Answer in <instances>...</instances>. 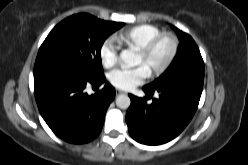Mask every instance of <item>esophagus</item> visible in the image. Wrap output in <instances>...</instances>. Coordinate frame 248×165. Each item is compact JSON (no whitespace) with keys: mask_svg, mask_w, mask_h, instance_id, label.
<instances>
[{"mask_svg":"<svg viewBox=\"0 0 248 165\" xmlns=\"http://www.w3.org/2000/svg\"><path fill=\"white\" fill-rule=\"evenodd\" d=\"M124 93V91L120 90V89H116V95L122 94Z\"/></svg>","mask_w":248,"mask_h":165,"instance_id":"1","label":"esophagus"}]
</instances>
